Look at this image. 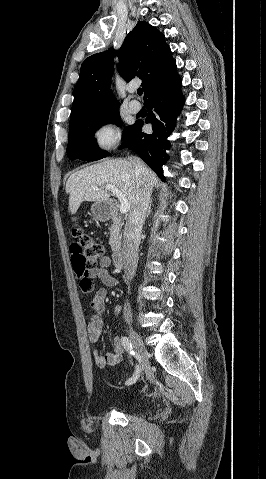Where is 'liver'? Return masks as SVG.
Wrapping results in <instances>:
<instances>
[{
    "label": "liver",
    "instance_id": "liver-1",
    "mask_svg": "<svg viewBox=\"0 0 266 479\" xmlns=\"http://www.w3.org/2000/svg\"><path fill=\"white\" fill-rule=\"evenodd\" d=\"M149 177L153 185L159 179L149 169ZM136 174L131 162L123 159H107L73 173L67 180L66 193L69 194V210L75 214L83 201H108L110 192L106 185L118 188L133 206L136 195ZM93 187H98L94 190Z\"/></svg>",
    "mask_w": 266,
    "mask_h": 479
}]
</instances>
